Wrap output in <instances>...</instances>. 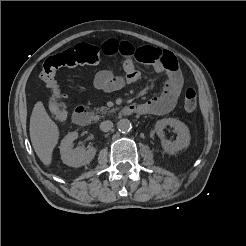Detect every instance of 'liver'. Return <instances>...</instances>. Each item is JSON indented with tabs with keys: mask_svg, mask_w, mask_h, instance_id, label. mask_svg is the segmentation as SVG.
<instances>
[{
	"mask_svg": "<svg viewBox=\"0 0 246 246\" xmlns=\"http://www.w3.org/2000/svg\"><path fill=\"white\" fill-rule=\"evenodd\" d=\"M30 139L32 146L45 166L52 162V153L59 139L57 124L50 118L41 101L32 110L30 118Z\"/></svg>",
	"mask_w": 246,
	"mask_h": 246,
	"instance_id": "1",
	"label": "liver"
}]
</instances>
